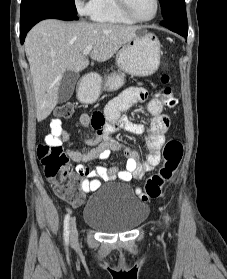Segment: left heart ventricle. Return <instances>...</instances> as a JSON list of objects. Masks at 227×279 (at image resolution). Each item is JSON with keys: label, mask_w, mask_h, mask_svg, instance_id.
Returning <instances> with one entry per match:
<instances>
[{"label": "left heart ventricle", "mask_w": 227, "mask_h": 279, "mask_svg": "<svg viewBox=\"0 0 227 279\" xmlns=\"http://www.w3.org/2000/svg\"><path fill=\"white\" fill-rule=\"evenodd\" d=\"M133 13L139 18H148L154 12V0H128Z\"/></svg>", "instance_id": "obj_1"}]
</instances>
